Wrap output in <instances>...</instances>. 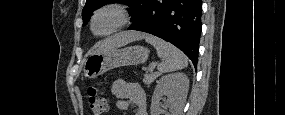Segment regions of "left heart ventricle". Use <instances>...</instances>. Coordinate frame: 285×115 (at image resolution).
<instances>
[{
    "label": "left heart ventricle",
    "instance_id": "obj_1",
    "mask_svg": "<svg viewBox=\"0 0 285 115\" xmlns=\"http://www.w3.org/2000/svg\"><path fill=\"white\" fill-rule=\"evenodd\" d=\"M116 18L110 12L102 13L95 22V30L98 32L107 31L114 26Z\"/></svg>",
    "mask_w": 285,
    "mask_h": 115
}]
</instances>
